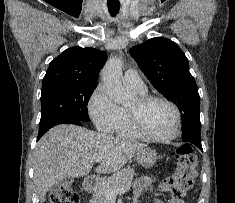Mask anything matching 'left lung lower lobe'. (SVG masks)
<instances>
[{"instance_id": "obj_1", "label": "left lung lower lobe", "mask_w": 235, "mask_h": 203, "mask_svg": "<svg viewBox=\"0 0 235 203\" xmlns=\"http://www.w3.org/2000/svg\"><path fill=\"white\" fill-rule=\"evenodd\" d=\"M183 141L190 142L194 145H196L200 150L203 151L202 145H201V137H194L190 135H184L182 136Z\"/></svg>"}]
</instances>
